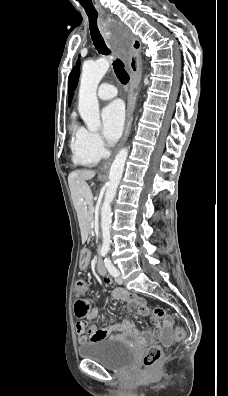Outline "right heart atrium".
<instances>
[{
    "label": "right heart atrium",
    "instance_id": "obj_1",
    "mask_svg": "<svg viewBox=\"0 0 228 396\" xmlns=\"http://www.w3.org/2000/svg\"><path fill=\"white\" fill-rule=\"evenodd\" d=\"M79 136L90 153L99 159L102 158L106 152V145L98 133L85 128H79Z\"/></svg>",
    "mask_w": 228,
    "mask_h": 396
}]
</instances>
